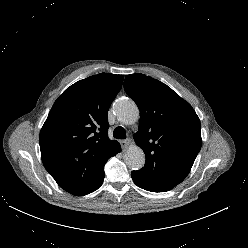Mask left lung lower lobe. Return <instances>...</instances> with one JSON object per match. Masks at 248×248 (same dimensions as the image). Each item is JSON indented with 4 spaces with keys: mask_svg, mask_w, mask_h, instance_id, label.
I'll list each match as a JSON object with an SVG mask.
<instances>
[{
    "mask_svg": "<svg viewBox=\"0 0 248 248\" xmlns=\"http://www.w3.org/2000/svg\"><path fill=\"white\" fill-rule=\"evenodd\" d=\"M131 176H132L134 183L137 186H139L140 188H143L145 190L151 191V190L147 189V187H145V184L142 182L141 176L138 173V171H132ZM152 192H154V191H152Z\"/></svg>",
    "mask_w": 248,
    "mask_h": 248,
    "instance_id": "left-lung-lower-lobe-1",
    "label": "left lung lower lobe"
}]
</instances>
